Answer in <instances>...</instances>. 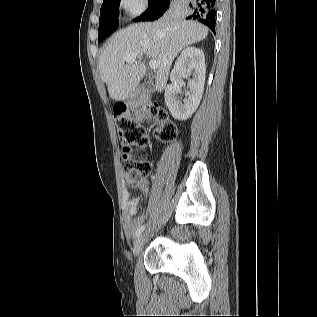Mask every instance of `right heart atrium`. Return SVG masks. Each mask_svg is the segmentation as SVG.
<instances>
[{
    "label": "right heart atrium",
    "instance_id": "1",
    "mask_svg": "<svg viewBox=\"0 0 317 317\" xmlns=\"http://www.w3.org/2000/svg\"><path fill=\"white\" fill-rule=\"evenodd\" d=\"M147 0H120L119 7L129 18L139 16L146 9Z\"/></svg>",
    "mask_w": 317,
    "mask_h": 317
}]
</instances>
